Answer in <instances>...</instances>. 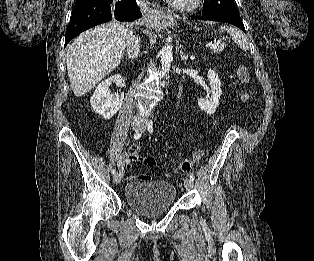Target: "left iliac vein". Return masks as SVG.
<instances>
[{
    "instance_id": "1",
    "label": "left iliac vein",
    "mask_w": 314,
    "mask_h": 261,
    "mask_svg": "<svg viewBox=\"0 0 314 261\" xmlns=\"http://www.w3.org/2000/svg\"><path fill=\"white\" fill-rule=\"evenodd\" d=\"M146 129V122H143L140 128V131L144 132ZM184 186L186 190H191L194 187L193 181L190 177H186L184 180Z\"/></svg>"
}]
</instances>
